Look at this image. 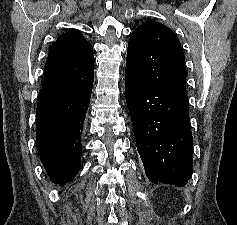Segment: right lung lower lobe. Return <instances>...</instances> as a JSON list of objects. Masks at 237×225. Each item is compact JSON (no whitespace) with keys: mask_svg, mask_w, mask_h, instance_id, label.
<instances>
[{"mask_svg":"<svg viewBox=\"0 0 237 225\" xmlns=\"http://www.w3.org/2000/svg\"><path fill=\"white\" fill-rule=\"evenodd\" d=\"M93 81L73 90L41 92L36 111V146L50 179L61 186L79 172L81 133Z\"/></svg>","mask_w":237,"mask_h":225,"instance_id":"98d812e1","label":"right lung lower lobe"}]
</instances>
